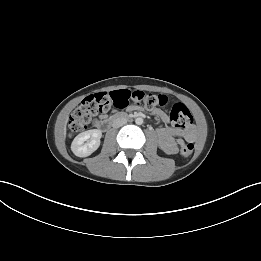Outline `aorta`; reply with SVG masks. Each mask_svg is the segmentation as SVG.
Instances as JSON below:
<instances>
[{
	"mask_svg": "<svg viewBox=\"0 0 261 261\" xmlns=\"http://www.w3.org/2000/svg\"><path fill=\"white\" fill-rule=\"evenodd\" d=\"M135 123L137 125H141L143 123V119L141 117H138V118L135 119Z\"/></svg>",
	"mask_w": 261,
	"mask_h": 261,
	"instance_id": "1",
	"label": "aorta"
}]
</instances>
